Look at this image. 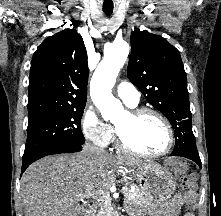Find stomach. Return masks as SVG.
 I'll return each mask as SVG.
<instances>
[{
    "label": "stomach",
    "mask_w": 221,
    "mask_h": 216,
    "mask_svg": "<svg viewBox=\"0 0 221 216\" xmlns=\"http://www.w3.org/2000/svg\"><path fill=\"white\" fill-rule=\"evenodd\" d=\"M139 184L142 195L148 203H163L171 198L176 188L173 175L158 164L129 169Z\"/></svg>",
    "instance_id": "0dacf381"
}]
</instances>
